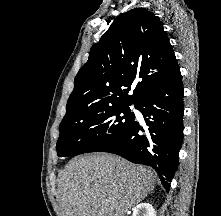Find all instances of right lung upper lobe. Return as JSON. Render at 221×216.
<instances>
[{
    "mask_svg": "<svg viewBox=\"0 0 221 216\" xmlns=\"http://www.w3.org/2000/svg\"><path fill=\"white\" fill-rule=\"evenodd\" d=\"M179 70L158 17L144 8L118 16L77 73L62 121L105 107L132 104ZM132 95H128L132 86Z\"/></svg>",
    "mask_w": 221,
    "mask_h": 216,
    "instance_id": "1",
    "label": "right lung upper lobe"
}]
</instances>
